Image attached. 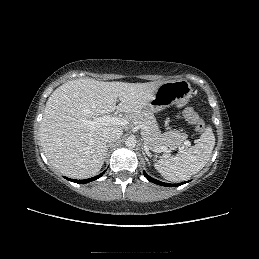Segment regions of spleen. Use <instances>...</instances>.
<instances>
[{
	"label": "spleen",
	"instance_id": "3e777b00",
	"mask_svg": "<svg viewBox=\"0 0 259 259\" xmlns=\"http://www.w3.org/2000/svg\"><path fill=\"white\" fill-rule=\"evenodd\" d=\"M214 145L215 136L209 126L194 146L180 150L170 158L158 160L154 166L166 180L184 181L198 173L207 164Z\"/></svg>",
	"mask_w": 259,
	"mask_h": 259
}]
</instances>
